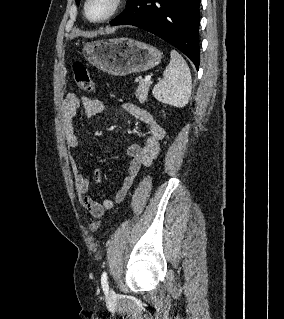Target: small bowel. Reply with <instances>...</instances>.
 Instances as JSON below:
<instances>
[{"instance_id": "small-bowel-1", "label": "small bowel", "mask_w": 284, "mask_h": 319, "mask_svg": "<svg viewBox=\"0 0 284 319\" xmlns=\"http://www.w3.org/2000/svg\"><path fill=\"white\" fill-rule=\"evenodd\" d=\"M80 108L86 116L91 117L102 113L105 105L98 99L79 97L75 93L66 95L61 107L62 124L66 143L72 148L79 146V138L74 129V118ZM123 109L145 125L147 135L142 144H130L126 147L125 151L129 157V162L121 187L116 191L113 200L104 197L101 193H99V200L94 199L89 194L91 180L80 172L75 159L71 162L75 189L79 196L80 205L83 210L94 218L102 217L106 211L112 209L115 202H121L125 198L140 169L150 166L157 157L160 142L165 136L164 128L146 110L131 103L124 104ZM92 179L96 184L100 182L101 175L99 170L94 171Z\"/></svg>"}]
</instances>
